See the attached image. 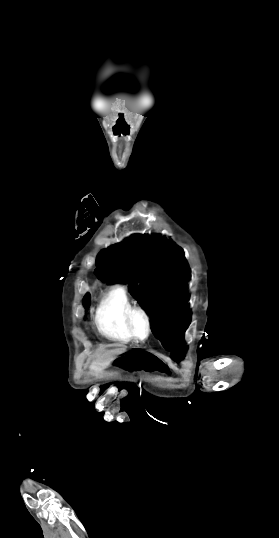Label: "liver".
Returning a JSON list of instances; mask_svg holds the SVG:
<instances>
[{"label": "liver", "instance_id": "1", "mask_svg": "<svg viewBox=\"0 0 279 538\" xmlns=\"http://www.w3.org/2000/svg\"><path fill=\"white\" fill-rule=\"evenodd\" d=\"M111 354H113V352H111ZM91 370H93V368H96V364H93V366H90Z\"/></svg>", "mask_w": 279, "mask_h": 538}]
</instances>
